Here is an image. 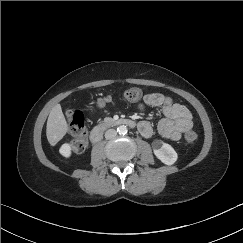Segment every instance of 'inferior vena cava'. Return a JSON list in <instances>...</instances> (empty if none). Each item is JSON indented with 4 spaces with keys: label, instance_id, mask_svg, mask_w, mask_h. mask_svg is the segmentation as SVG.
<instances>
[{
    "label": "inferior vena cava",
    "instance_id": "obj_1",
    "mask_svg": "<svg viewBox=\"0 0 243 243\" xmlns=\"http://www.w3.org/2000/svg\"><path fill=\"white\" fill-rule=\"evenodd\" d=\"M116 135H117V132H116L115 129H108V130L105 132V138H106V139H112V138H114Z\"/></svg>",
    "mask_w": 243,
    "mask_h": 243
}]
</instances>
